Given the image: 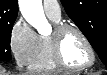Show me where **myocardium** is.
I'll return each instance as SVG.
<instances>
[{"label": "myocardium", "mask_w": 107, "mask_h": 75, "mask_svg": "<svg viewBox=\"0 0 107 75\" xmlns=\"http://www.w3.org/2000/svg\"><path fill=\"white\" fill-rule=\"evenodd\" d=\"M68 31H74L75 33H77L85 43L90 55V59L86 64L81 66H72L65 61L62 54V38L64 34ZM50 43L53 61L61 69L74 72L84 71L92 67L96 61V53L91 41L79 27L73 24H57L54 28L52 35L50 36Z\"/></svg>", "instance_id": "1"}]
</instances>
